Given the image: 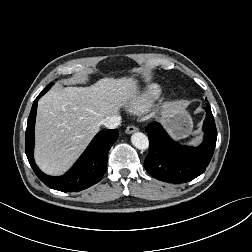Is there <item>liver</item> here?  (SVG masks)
<instances>
[{
  "mask_svg": "<svg viewBox=\"0 0 252 252\" xmlns=\"http://www.w3.org/2000/svg\"><path fill=\"white\" fill-rule=\"evenodd\" d=\"M136 81L102 78L89 87L52 89L38 103L35 160L49 175L63 174L100 129L103 119L135 101Z\"/></svg>",
  "mask_w": 252,
  "mask_h": 252,
  "instance_id": "obj_1",
  "label": "liver"
}]
</instances>
